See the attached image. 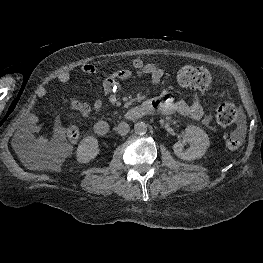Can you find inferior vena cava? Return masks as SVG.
Masks as SVG:
<instances>
[{"label":"inferior vena cava","instance_id":"obj_1","mask_svg":"<svg viewBox=\"0 0 263 263\" xmlns=\"http://www.w3.org/2000/svg\"><path fill=\"white\" fill-rule=\"evenodd\" d=\"M116 131L120 135H126L130 131V126L126 122H121L116 127Z\"/></svg>","mask_w":263,"mask_h":263}]
</instances>
